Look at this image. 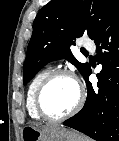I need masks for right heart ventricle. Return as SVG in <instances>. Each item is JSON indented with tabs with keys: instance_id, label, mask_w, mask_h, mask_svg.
I'll use <instances>...</instances> for the list:
<instances>
[{
	"instance_id": "1",
	"label": "right heart ventricle",
	"mask_w": 119,
	"mask_h": 141,
	"mask_svg": "<svg viewBox=\"0 0 119 141\" xmlns=\"http://www.w3.org/2000/svg\"><path fill=\"white\" fill-rule=\"evenodd\" d=\"M52 72L51 68H45L41 71H39L31 80L27 95H26V109L28 111V114L30 117L34 120H40V116L37 114L34 106V96L35 92L40 85V83L43 81V79Z\"/></svg>"
}]
</instances>
